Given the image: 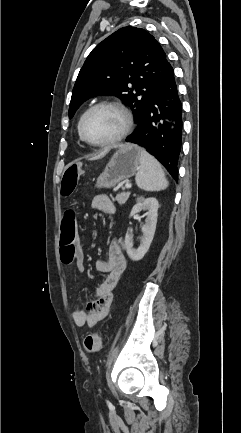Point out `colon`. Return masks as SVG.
I'll return each mask as SVG.
<instances>
[{"label":"colon","instance_id":"colon-1","mask_svg":"<svg viewBox=\"0 0 241 433\" xmlns=\"http://www.w3.org/2000/svg\"><path fill=\"white\" fill-rule=\"evenodd\" d=\"M81 161H70L69 164L63 166L62 181L59 182V195H74L75 190L79 185L80 177H86L87 170L82 168ZM79 220V213L74 212L72 207H67L65 212L61 213L58 219L59 226L62 228V237L59 240L60 257L62 263L70 265L74 262L75 251L79 252L82 246L79 244V231L76 221ZM103 334L95 332L89 334L84 339V348L89 353L97 352L103 344Z\"/></svg>","mask_w":241,"mask_h":433}]
</instances>
